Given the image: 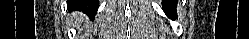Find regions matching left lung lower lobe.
<instances>
[{"mask_svg":"<svg viewBox=\"0 0 249 39\" xmlns=\"http://www.w3.org/2000/svg\"><path fill=\"white\" fill-rule=\"evenodd\" d=\"M172 6H175V1H163V10L164 12L168 15L171 16L174 14L173 9L171 8Z\"/></svg>","mask_w":249,"mask_h":39,"instance_id":"0a47b994","label":"left lung lower lobe"}]
</instances>
